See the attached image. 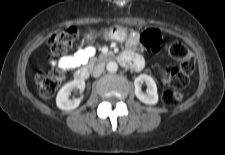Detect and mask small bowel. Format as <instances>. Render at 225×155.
<instances>
[{"label":"small bowel","instance_id":"obj_1","mask_svg":"<svg viewBox=\"0 0 225 155\" xmlns=\"http://www.w3.org/2000/svg\"><path fill=\"white\" fill-rule=\"evenodd\" d=\"M139 47H140L139 36L137 34H132L127 41L126 51L123 53V56L137 63L136 69H140L143 66L142 59L137 53ZM94 52L95 50L93 47H86L80 49L73 55L61 58L59 64L65 68L77 67L81 64H84L94 54Z\"/></svg>","mask_w":225,"mask_h":155}]
</instances>
